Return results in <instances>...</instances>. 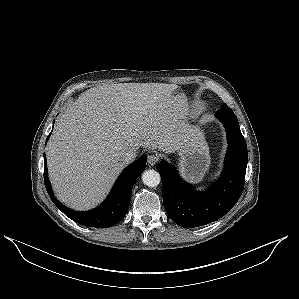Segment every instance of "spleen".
I'll list each match as a JSON object with an SVG mask.
<instances>
[{
  "label": "spleen",
  "mask_w": 299,
  "mask_h": 299,
  "mask_svg": "<svg viewBox=\"0 0 299 299\" xmlns=\"http://www.w3.org/2000/svg\"><path fill=\"white\" fill-rule=\"evenodd\" d=\"M198 190H204V187L199 188Z\"/></svg>",
  "instance_id": "3e777b00"
}]
</instances>
